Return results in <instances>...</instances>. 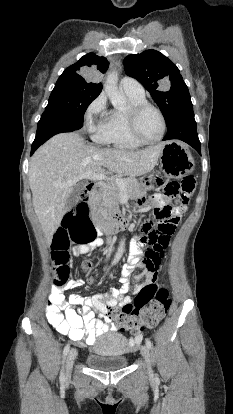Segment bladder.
I'll use <instances>...</instances> for the list:
<instances>
[{
    "instance_id": "obj_1",
    "label": "bladder",
    "mask_w": 233,
    "mask_h": 414,
    "mask_svg": "<svg viewBox=\"0 0 233 414\" xmlns=\"http://www.w3.org/2000/svg\"><path fill=\"white\" fill-rule=\"evenodd\" d=\"M127 351L128 342L125 335L109 331L96 341L94 353L87 357L86 363L91 369L97 371L120 370L128 365Z\"/></svg>"
}]
</instances>
